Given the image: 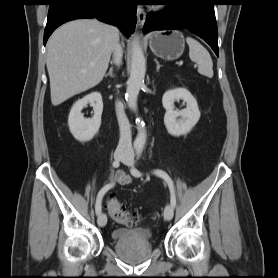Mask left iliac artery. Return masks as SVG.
<instances>
[{
    "instance_id": "obj_1",
    "label": "left iliac artery",
    "mask_w": 278,
    "mask_h": 278,
    "mask_svg": "<svg viewBox=\"0 0 278 278\" xmlns=\"http://www.w3.org/2000/svg\"><path fill=\"white\" fill-rule=\"evenodd\" d=\"M141 154H142V150L139 149L137 151V159H139L141 157ZM131 173L133 176L135 177H140L142 175V173L137 170L136 168H133L131 170ZM153 173L161 178H163L167 184H168V187H169V190H170V201H171V205L173 207L176 206V195H175V188H174V184H173V181L172 179L170 178V176L163 170H160V169H156L153 171Z\"/></svg>"
}]
</instances>
